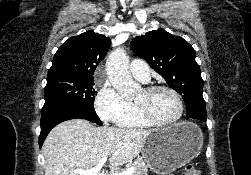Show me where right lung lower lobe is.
I'll use <instances>...</instances> for the list:
<instances>
[{"label":"right lung lower lobe","instance_id":"right-lung-lower-lobe-1","mask_svg":"<svg viewBox=\"0 0 251 175\" xmlns=\"http://www.w3.org/2000/svg\"><path fill=\"white\" fill-rule=\"evenodd\" d=\"M86 119L102 125L94 108L78 106L65 102H47L42 108L41 133L39 136V146L41 148L46 136L57 124L70 119Z\"/></svg>","mask_w":251,"mask_h":175}]
</instances>
